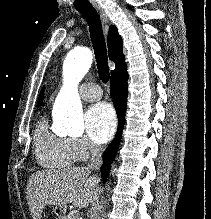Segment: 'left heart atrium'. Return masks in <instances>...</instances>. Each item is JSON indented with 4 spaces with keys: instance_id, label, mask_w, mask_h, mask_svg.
Wrapping results in <instances>:
<instances>
[{
    "instance_id": "left-heart-atrium-1",
    "label": "left heart atrium",
    "mask_w": 211,
    "mask_h": 219,
    "mask_svg": "<svg viewBox=\"0 0 211 219\" xmlns=\"http://www.w3.org/2000/svg\"><path fill=\"white\" fill-rule=\"evenodd\" d=\"M117 119L107 103L92 106L85 115L86 132L95 143L107 142L115 132Z\"/></svg>"
}]
</instances>
